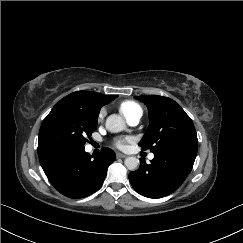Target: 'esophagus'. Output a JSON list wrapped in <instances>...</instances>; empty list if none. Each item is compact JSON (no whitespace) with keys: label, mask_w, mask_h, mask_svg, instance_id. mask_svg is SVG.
<instances>
[{"label":"esophagus","mask_w":243,"mask_h":243,"mask_svg":"<svg viewBox=\"0 0 243 243\" xmlns=\"http://www.w3.org/2000/svg\"><path fill=\"white\" fill-rule=\"evenodd\" d=\"M117 158H125L126 155L122 154V153H116Z\"/></svg>","instance_id":"34e87169"}]
</instances>
